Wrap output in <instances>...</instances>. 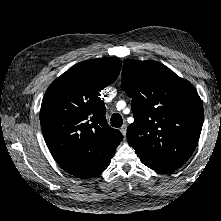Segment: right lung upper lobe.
<instances>
[{
    "label": "right lung upper lobe",
    "mask_w": 221,
    "mask_h": 221,
    "mask_svg": "<svg viewBox=\"0 0 221 221\" xmlns=\"http://www.w3.org/2000/svg\"><path fill=\"white\" fill-rule=\"evenodd\" d=\"M121 62L115 58L80 62L52 82L40 110L46 144L67 172L87 179L100 175L123 140L109 127L100 91L113 83Z\"/></svg>",
    "instance_id": "right-lung-upper-lobe-1"
}]
</instances>
